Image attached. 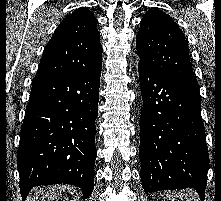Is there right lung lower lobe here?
Segmentation results:
<instances>
[{
  "instance_id": "obj_1",
  "label": "right lung lower lobe",
  "mask_w": 221,
  "mask_h": 201,
  "mask_svg": "<svg viewBox=\"0 0 221 201\" xmlns=\"http://www.w3.org/2000/svg\"><path fill=\"white\" fill-rule=\"evenodd\" d=\"M100 75L101 68L33 79L17 153L23 201L31 188L56 183L80 187L83 199L91 195Z\"/></svg>"
}]
</instances>
